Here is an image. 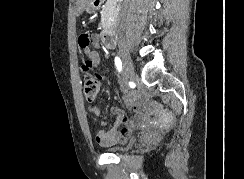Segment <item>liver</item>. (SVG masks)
<instances>
[{"label": "liver", "mask_w": 244, "mask_h": 179, "mask_svg": "<svg viewBox=\"0 0 244 179\" xmlns=\"http://www.w3.org/2000/svg\"><path fill=\"white\" fill-rule=\"evenodd\" d=\"M93 0H76V14L77 16H80V14H82V12H84L86 6H88V4H92Z\"/></svg>", "instance_id": "liver-1"}]
</instances>
